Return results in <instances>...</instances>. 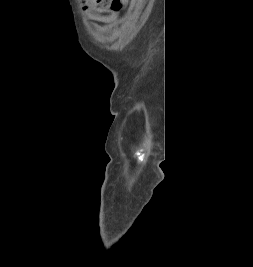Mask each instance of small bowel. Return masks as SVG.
Here are the masks:
<instances>
[{
    "instance_id": "small-bowel-1",
    "label": "small bowel",
    "mask_w": 253,
    "mask_h": 267,
    "mask_svg": "<svg viewBox=\"0 0 253 267\" xmlns=\"http://www.w3.org/2000/svg\"><path fill=\"white\" fill-rule=\"evenodd\" d=\"M92 25L98 31H104L106 29V26H104V25H100V24H97V23H93Z\"/></svg>"
}]
</instances>
